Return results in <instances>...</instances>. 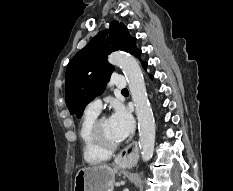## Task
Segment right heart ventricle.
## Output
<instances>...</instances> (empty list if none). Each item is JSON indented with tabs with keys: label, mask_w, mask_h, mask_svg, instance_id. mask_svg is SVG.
I'll return each instance as SVG.
<instances>
[{
	"label": "right heart ventricle",
	"mask_w": 233,
	"mask_h": 191,
	"mask_svg": "<svg viewBox=\"0 0 233 191\" xmlns=\"http://www.w3.org/2000/svg\"><path fill=\"white\" fill-rule=\"evenodd\" d=\"M98 116V113L86 111L79 126V137L82 144L83 156L86 162L98 164L107 161L111 152H106L98 148L91 137V128Z\"/></svg>",
	"instance_id": "obj_1"
}]
</instances>
